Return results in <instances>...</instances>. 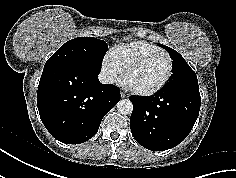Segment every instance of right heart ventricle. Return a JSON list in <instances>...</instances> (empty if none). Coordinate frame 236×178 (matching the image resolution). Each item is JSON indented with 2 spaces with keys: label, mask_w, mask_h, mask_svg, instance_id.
<instances>
[{
  "label": "right heart ventricle",
  "mask_w": 236,
  "mask_h": 178,
  "mask_svg": "<svg viewBox=\"0 0 236 178\" xmlns=\"http://www.w3.org/2000/svg\"><path fill=\"white\" fill-rule=\"evenodd\" d=\"M157 51H162V49L146 42L134 41L130 43L119 44L113 47L110 51L109 57L118 67L120 72H123L128 64H130L136 58Z\"/></svg>",
  "instance_id": "obj_1"
}]
</instances>
